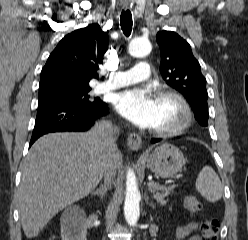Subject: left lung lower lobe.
<instances>
[{
	"mask_svg": "<svg viewBox=\"0 0 248 240\" xmlns=\"http://www.w3.org/2000/svg\"><path fill=\"white\" fill-rule=\"evenodd\" d=\"M158 141H160V140H159V139H152V140H151L152 143H156V142H158Z\"/></svg>",
	"mask_w": 248,
	"mask_h": 240,
	"instance_id": "1",
	"label": "left lung lower lobe"
}]
</instances>
